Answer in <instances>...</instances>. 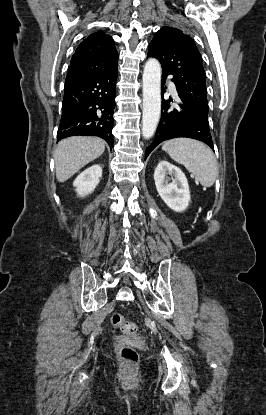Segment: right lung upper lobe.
Here are the masks:
<instances>
[{
  "label": "right lung upper lobe",
  "mask_w": 266,
  "mask_h": 415,
  "mask_svg": "<svg viewBox=\"0 0 266 415\" xmlns=\"http://www.w3.org/2000/svg\"><path fill=\"white\" fill-rule=\"evenodd\" d=\"M117 61L118 52L112 37L101 31L94 32L76 49L65 83L107 73L117 66Z\"/></svg>",
  "instance_id": "right-lung-upper-lobe-1"
}]
</instances>
